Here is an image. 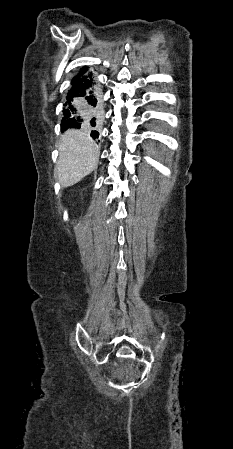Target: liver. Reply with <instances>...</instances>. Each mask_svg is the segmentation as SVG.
I'll use <instances>...</instances> for the list:
<instances>
[{
	"label": "liver",
	"mask_w": 233,
	"mask_h": 449,
	"mask_svg": "<svg viewBox=\"0 0 233 449\" xmlns=\"http://www.w3.org/2000/svg\"><path fill=\"white\" fill-rule=\"evenodd\" d=\"M58 148L55 176L62 186H72L96 169L99 147L88 133L68 130L62 135Z\"/></svg>",
	"instance_id": "obj_1"
}]
</instances>
